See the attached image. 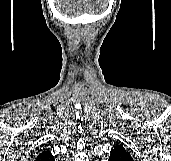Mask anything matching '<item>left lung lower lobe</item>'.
Segmentation results:
<instances>
[{"label": "left lung lower lobe", "instance_id": "left-lung-lower-lobe-1", "mask_svg": "<svg viewBox=\"0 0 171 161\" xmlns=\"http://www.w3.org/2000/svg\"><path fill=\"white\" fill-rule=\"evenodd\" d=\"M109 161H121V160H118V159H113V160H111V159H109Z\"/></svg>", "mask_w": 171, "mask_h": 161}]
</instances>
